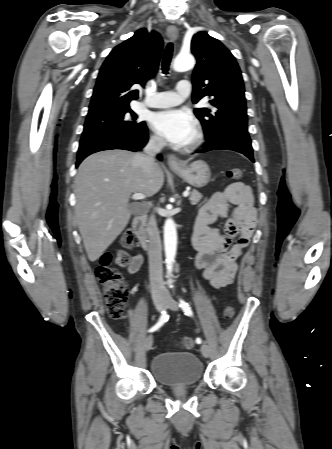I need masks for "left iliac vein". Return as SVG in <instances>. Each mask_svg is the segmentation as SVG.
<instances>
[{"mask_svg":"<svg viewBox=\"0 0 332 449\" xmlns=\"http://www.w3.org/2000/svg\"><path fill=\"white\" fill-rule=\"evenodd\" d=\"M166 306L173 310V311H177L179 309V305L178 303L169 295L166 294ZM201 353L205 358H208L210 355V348L207 344H202L201 345Z\"/></svg>","mask_w":332,"mask_h":449,"instance_id":"obj_1","label":"left iliac vein"}]
</instances>
